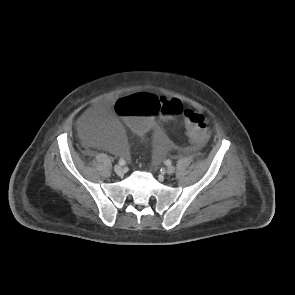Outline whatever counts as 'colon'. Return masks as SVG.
<instances>
[{
  "mask_svg": "<svg viewBox=\"0 0 295 295\" xmlns=\"http://www.w3.org/2000/svg\"><path fill=\"white\" fill-rule=\"evenodd\" d=\"M116 112L127 129L138 136L149 133L157 121V113L172 120L173 116L185 124L190 140L204 143L209 137V127L204 117L194 113L189 105H182L178 99L157 97L149 93H138L121 98L115 103Z\"/></svg>",
  "mask_w": 295,
  "mask_h": 295,
  "instance_id": "obj_1",
  "label": "colon"
}]
</instances>
